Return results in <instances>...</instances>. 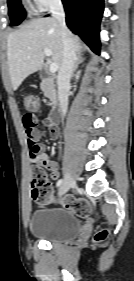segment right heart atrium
<instances>
[{
  "instance_id": "1",
  "label": "right heart atrium",
  "mask_w": 134,
  "mask_h": 281,
  "mask_svg": "<svg viewBox=\"0 0 134 281\" xmlns=\"http://www.w3.org/2000/svg\"><path fill=\"white\" fill-rule=\"evenodd\" d=\"M31 1L33 6L39 11H47L60 2V0H31Z\"/></svg>"
}]
</instances>
